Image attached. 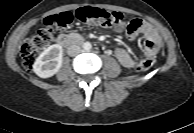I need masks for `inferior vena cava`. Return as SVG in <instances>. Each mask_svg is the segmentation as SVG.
<instances>
[{"instance_id": "inferior-vena-cava-1", "label": "inferior vena cava", "mask_w": 194, "mask_h": 133, "mask_svg": "<svg viewBox=\"0 0 194 133\" xmlns=\"http://www.w3.org/2000/svg\"><path fill=\"white\" fill-rule=\"evenodd\" d=\"M80 52H81V47L78 45H71L67 50V54L71 57L78 55Z\"/></svg>"}]
</instances>
